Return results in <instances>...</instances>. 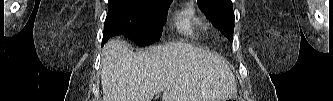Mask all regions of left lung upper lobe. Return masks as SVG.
Instances as JSON below:
<instances>
[{"label": "left lung upper lobe", "mask_w": 333, "mask_h": 101, "mask_svg": "<svg viewBox=\"0 0 333 101\" xmlns=\"http://www.w3.org/2000/svg\"><path fill=\"white\" fill-rule=\"evenodd\" d=\"M206 17L229 39L233 37L234 12L231 0H197Z\"/></svg>", "instance_id": "obj_1"}]
</instances>
